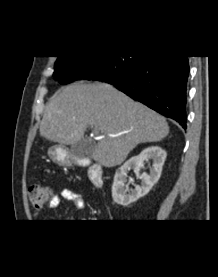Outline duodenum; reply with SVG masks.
<instances>
[{"instance_id": "duodenum-1", "label": "duodenum", "mask_w": 218, "mask_h": 277, "mask_svg": "<svg viewBox=\"0 0 218 277\" xmlns=\"http://www.w3.org/2000/svg\"><path fill=\"white\" fill-rule=\"evenodd\" d=\"M88 177L93 185L100 187L103 184V171L100 165L90 164L88 166Z\"/></svg>"}]
</instances>
